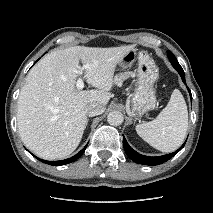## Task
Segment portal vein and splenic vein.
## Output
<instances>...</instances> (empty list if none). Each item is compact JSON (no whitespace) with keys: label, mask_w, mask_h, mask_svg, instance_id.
<instances>
[{"label":"portal vein and splenic vein","mask_w":213,"mask_h":213,"mask_svg":"<svg viewBox=\"0 0 213 213\" xmlns=\"http://www.w3.org/2000/svg\"><path fill=\"white\" fill-rule=\"evenodd\" d=\"M90 65L89 64H86V65H83L80 70H79V74L82 75L83 74V70L85 68H88ZM76 87L77 89L79 90H82L84 88V82H83V79L81 77L78 78L77 82H76Z\"/></svg>","instance_id":"portal-vein-and-splenic-vein-1"}]
</instances>
